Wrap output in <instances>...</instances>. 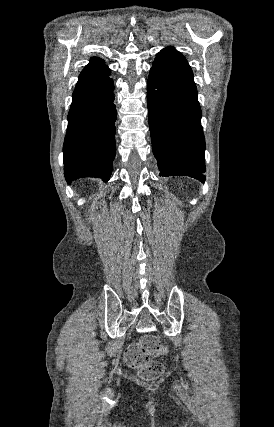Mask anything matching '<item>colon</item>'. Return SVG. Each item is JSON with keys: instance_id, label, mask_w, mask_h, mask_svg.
Segmentation results:
<instances>
[{"instance_id": "colon-1", "label": "colon", "mask_w": 274, "mask_h": 427, "mask_svg": "<svg viewBox=\"0 0 274 427\" xmlns=\"http://www.w3.org/2000/svg\"><path fill=\"white\" fill-rule=\"evenodd\" d=\"M167 348L153 336H144L130 344L124 353L125 363L136 370L143 379H157L164 375L165 368L153 358L163 355Z\"/></svg>"}]
</instances>
